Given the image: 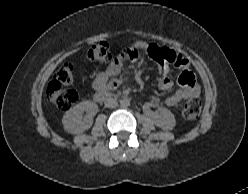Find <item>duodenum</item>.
<instances>
[{
  "instance_id": "1",
  "label": "duodenum",
  "mask_w": 248,
  "mask_h": 194,
  "mask_svg": "<svg viewBox=\"0 0 248 194\" xmlns=\"http://www.w3.org/2000/svg\"><path fill=\"white\" fill-rule=\"evenodd\" d=\"M116 97H118V94L106 92V91H99L94 96L97 102H104L106 100H110Z\"/></svg>"
}]
</instances>
